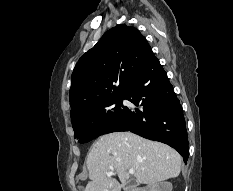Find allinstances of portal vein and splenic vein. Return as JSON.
Segmentation results:
<instances>
[{
	"instance_id": "portal-vein-and-splenic-vein-1",
	"label": "portal vein and splenic vein",
	"mask_w": 233,
	"mask_h": 191,
	"mask_svg": "<svg viewBox=\"0 0 233 191\" xmlns=\"http://www.w3.org/2000/svg\"><path fill=\"white\" fill-rule=\"evenodd\" d=\"M129 174H135V170H134V169H129ZM109 175H110V176L114 175V172L111 171V172L109 173Z\"/></svg>"
}]
</instances>
